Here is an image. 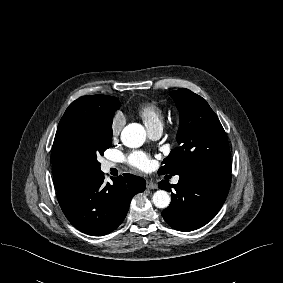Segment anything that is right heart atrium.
Returning <instances> with one entry per match:
<instances>
[{"label": "right heart atrium", "instance_id": "right-heart-atrium-1", "mask_svg": "<svg viewBox=\"0 0 283 283\" xmlns=\"http://www.w3.org/2000/svg\"><path fill=\"white\" fill-rule=\"evenodd\" d=\"M125 123L126 118L122 113L118 112L113 116L111 121V134L113 137H117L121 133Z\"/></svg>", "mask_w": 283, "mask_h": 283}]
</instances>
